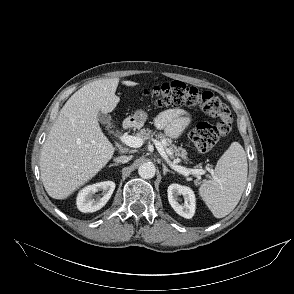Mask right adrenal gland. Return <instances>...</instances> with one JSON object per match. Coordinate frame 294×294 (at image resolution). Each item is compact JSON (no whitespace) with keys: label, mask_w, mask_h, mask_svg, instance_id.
Returning a JSON list of instances; mask_svg holds the SVG:
<instances>
[{"label":"right adrenal gland","mask_w":294,"mask_h":294,"mask_svg":"<svg viewBox=\"0 0 294 294\" xmlns=\"http://www.w3.org/2000/svg\"><path fill=\"white\" fill-rule=\"evenodd\" d=\"M112 166H119V164L118 163H114V164H111L110 165V167H112Z\"/></svg>","instance_id":"1"}]
</instances>
